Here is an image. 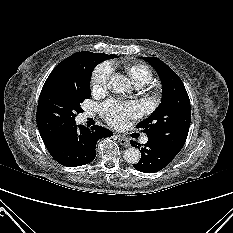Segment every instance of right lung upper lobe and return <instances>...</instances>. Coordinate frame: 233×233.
I'll return each mask as SVG.
<instances>
[{"label": "right lung upper lobe", "instance_id": "right-lung-upper-lobe-1", "mask_svg": "<svg viewBox=\"0 0 233 233\" xmlns=\"http://www.w3.org/2000/svg\"><path fill=\"white\" fill-rule=\"evenodd\" d=\"M78 57H79V52L67 57L66 59H64L62 62H60L55 67V69H70V68H72V66H74L75 63L77 62ZM58 136H60V135H58ZM55 137H57V136L46 137V138H42V139H43V141H47V140H51V139H53Z\"/></svg>", "mask_w": 233, "mask_h": 233}]
</instances>
